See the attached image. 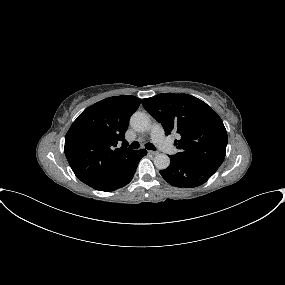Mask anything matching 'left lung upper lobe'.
Segmentation results:
<instances>
[{"label":"left lung upper lobe","instance_id":"left-lung-upper-lobe-1","mask_svg":"<svg viewBox=\"0 0 285 285\" xmlns=\"http://www.w3.org/2000/svg\"><path fill=\"white\" fill-rule=\"evenodd\" d=\"M147 112L162 124L166 135L180 134L173 156L219 167L226 153L227 132L218 114L202 100L188 94L166 93L145 98Z\"/></svg>","mask_w":285,"mask_h":285}]
</instances>
